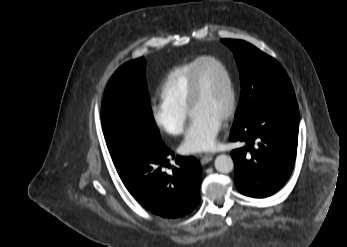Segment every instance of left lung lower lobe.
I'll use <instances>...</instances> for the list:
<instances>
[{"label": "left lung lower lobe", "mask_w": 347, "mask_h": 247, "mask_svg": "<svg viewBox=\"0 0 347 247\" xmlns=\"http://www.w3.org/2000/svg\"><path fill=\"white\" fill-rule=\"evenodd\" d=\"M298 128L295 97L272 99L233 125L230 140L245 143L232 151L234 179L242 194L264 198L286 183L296 159Z\"/></svg>", "instance_id": "1"}]
</instances>
